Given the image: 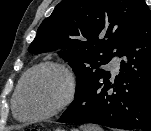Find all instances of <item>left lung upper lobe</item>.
I'll list each match as a JSON object with an SVG mask.
<instances>
[{"label": "left lung upper lobe", "mask_w": 151, "mask_h": 131, "mask_svg": "<svg viewBox=\"0 0 151 131\" xmlns=\"http://www.w3.org/2000/svg\"><path fill=\"white\" fill-rule=\"evenodd\" d=\"M143 0H63L40 25L30 53L61 50L76 74L75 97L96 78L104 65L121 57Z\"/></svg>", "instance_id": "5c2ea615"}]
</instances>
